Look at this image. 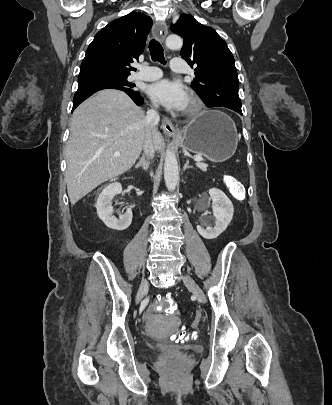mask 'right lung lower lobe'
I'll return each instance as SVG.
<instances>
[{
	"label": "right lung lower lobe",
	"instance_id": "obj_1",
	"mask_svg": "<svg viewBox=\"0 0 332 405\" xmlns=\"http://www.w3.org/2000/svg\"><path fill=\"white\" fill-rule=\"evenodd\" d=\"M108 88H112V89H118V90H122L125 93H127L132 100L137 104V105H141L143 103V98L140 96L139 92L136 91H127L125 89L122 88H117V87H113V86H104V85H100V86H93V87H88L82 90H77V92L74 95L73 98V108L72 111L81 103L83 102L85 99H87L89 96H91L93 93L102 90V89H108Z\"/></svg>",
	"mask_w": 332,
	"mask_h": 405
}]
</instances>
